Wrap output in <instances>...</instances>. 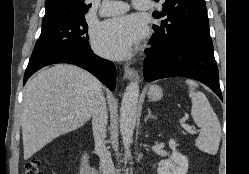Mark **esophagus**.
<instances>
[{"mask_svg": "<svg viewBox=\"0 0 249 174\" xmlns=\"http://www.w3.org/2000/svg\"><path fill=\"white\" fill-rule=\"evenodd\" d=\"M124 77L128 80H132V79L139 80L137 71L131 68L129 64L124 65Z\"/></svg>", "mask_w": 249, "mask_h": 174, "instance_id": "1", "label": "esophagus"}]
</instances>
